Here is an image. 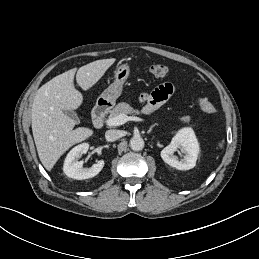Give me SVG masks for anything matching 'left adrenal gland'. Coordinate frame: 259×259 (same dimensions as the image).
<instances>
[{
  "instance_id": "obj_1",
  "label": "left adrenal gland",
  "mask_w": 259,
  "mask_h": 259,
  "mask_svg": "<svg viewBox=\"0 0 259 259\" xmlns=\"http://www.w3.org/2000/svg\"><path fill=\"white\" fill-rule=\"evenodd\" d=\"M156 125H157V124H153V125L149 128V130L147 131V133H148V134L151 133L152 130H153V128H154Z\"/></svg>"
}]
</instances>
